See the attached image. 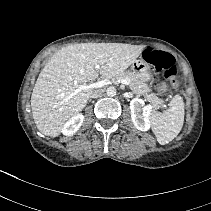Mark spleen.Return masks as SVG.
<instances>
[{
  "mask_svg": "<svg viewBox=\"0 0 211 211\" xmlns=\"http://www.w3.org/2000/svg\"><path fill=\"white\" fill-rule=\"evenodd\" d=\"M184 102L180 95H175L170 107L163 113L150 114V126L161 145L168 144L180 133L184 122Z\"/></svg>",
  "mask_w": 211,
  "mask_h": 211,
  "instance_id": "3e777b00",
  "label": "spleen"
}]
</instances>
